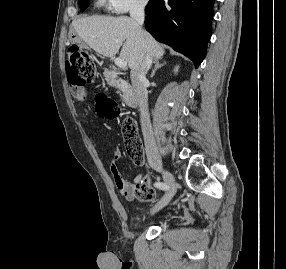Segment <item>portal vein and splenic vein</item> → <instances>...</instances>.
Here are the masks:
<instances>
[{
	"instance_id": "obj_1",
	"label": "portal vein and splenic vein",
	"mask_w": 286,
	"mask_h": 269,
	"mask_svg": "<svg viewBox=\"0 0 286 269\" xmlns=\"http://www.w3.org/2000/svg\"><path fill=\"white\" fill-rule=\"evenodd\" d=\"M114 62H115L117 67H120V68L127 67V62L124 59H122V58H117V59H115Z\"/></svg>"
}]
</instances>
